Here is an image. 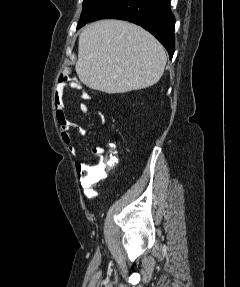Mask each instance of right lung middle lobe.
I'll list each match as a JSON object with an SVG mask.
<instances>
[{"label": "right lung middle lobe", "instance_id": "1", "mask_svg": "<svg viewBox=\"0 0 240 287\" xmlns=\"http://www.w3.org/2000/svg\"><path fill=\"white\" fill-rule=\"evenodd\" d=\"M108 1L109 0H84L83 11L77 27L80 28L90 22Z\"/></svg>", "mask_w": 240, "mask_h": 287}]
</instances>
